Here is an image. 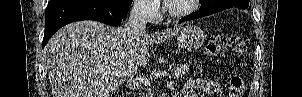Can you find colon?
Returning <instances> with one entry per match:
<instances>
[{"instance_id": "1", "label": "colon", "mask_w": 302, "mask_h": 97, "mask_svg": "<svg viewBox=\"0 0 302 97\" xmlns=\"http://www.w3.org/2000/svg\"><path fill=\"white\" fill-rule=\"evenodd\" d=\"M233 46L238 54L246 51V44L236 34L222 33L210 39L205 45V54L208 58L216 57L228 46ZM244 91V82L241 77L231 78L229 83V96L242 97Z\"/></svg>"}]
</instances>
